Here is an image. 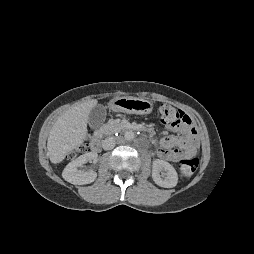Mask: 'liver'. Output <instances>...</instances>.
<instances>
[{
  "label": "liver",
  "mask_w": 254,
  "mask_h": 254,
  "mask_svg": "<svg viewBox=\"0 0 254 254\" xmlns=\"http://www.w3.org/2000/svg\"><path fill=\"white\" fill-rule=\"evenodd\" d=\"M98 101L92 99L81 103L62 114L53 125L47 141L48 156L57 164L86 138L88 116Z\"/></svg>",
  "instance_id": "obj_1"
}]
</instances>
